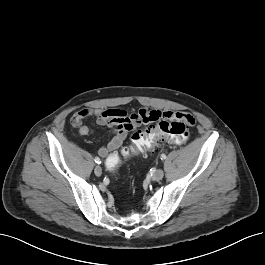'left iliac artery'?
<instances>
[{
    "label": "left iliac artery",
    "instance_id": "1",
    "mask_svg": "<svg viewBox=\"0 0 265 265\" xmlns=\"http://www.w3.org/2000/svg\"><path fill=\"white\" fill-rule=\"evenodd\" d=\"M161 159H162V160H165V159H166V155H165V154H162V155H161Z\"/></svg>",
    "mask_w": 265,
    "mask_h": 265
}]
</instances>
